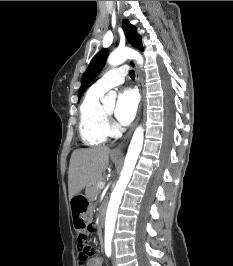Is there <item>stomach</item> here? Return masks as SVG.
I'll list each match as a JSON object with an SVG mask.
<instances>
[{
	"label": "stomach",
	"instance_id": "1",
	"mask_svg": "<svg viewBox=\"0 0 233 266\" xmlns=\"http://www.w3.org/2000/svg\"><path fill=\"white\" fill-rule=\"evenodd\" d=\"M88 201L90 196L87 194H74L71 199V209L73 214L72 228H76V232H86L89 225H94V220H90L88 216Z\"/></svg>",
	"mask_w": 233,
	"mask_h": 266
}]
</instances>
